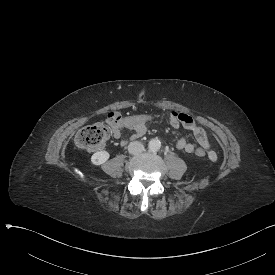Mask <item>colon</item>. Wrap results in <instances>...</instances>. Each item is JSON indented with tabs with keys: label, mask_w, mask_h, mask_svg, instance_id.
I'll return each mask as SVG.
<instances>
[{
	"label": "colon",
	"mask_w": 275,
	"mask_h": 275,
	"mask_svg": "<svg viewBox=\"0 0 275 275\" xmlns=\"http://www.w3.org/2000/svg\"><path fill=\"white\" fill-rule=\"evenodd\" d=\"M155 122L157 115L155 113H146L133 117L123 118L119 116L117 111H112L107 114L104 122H98L90 126L82 128L75 137L77 147L84 150H99L101 149L112 134L115 126L129 127L142 124L144 122ZM116 124V125H115ZM195 154L199 157L206 155L203 148H197Z\"/></svg>",
	"instance_id": "colon-1"
}]
</instances>
